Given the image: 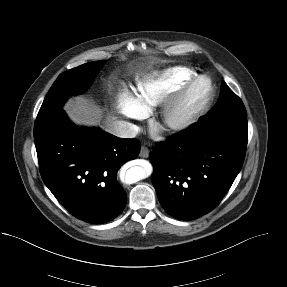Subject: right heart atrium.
Here are the masks:
<instances>
[{
    "label": "right heart atrium",
    "instance_id": "1",
    "mask_svg": "<svg viewBox=\"0 0 287 287\" xmlns=\"http://www.w3.org/2000/svg\"><path fill=\"white\" fill-rule=\"evenodd\" d=\"M115 106L117 112L126 119L135 120L144 116V112L140 109L134 96L127 90L120 93Z\"/></svg>",
    "mask_w": 287,
    "mask_h": 287
}]
</instances>
